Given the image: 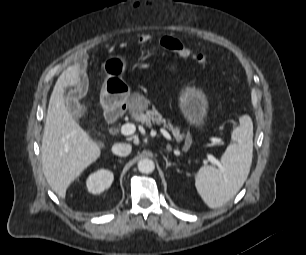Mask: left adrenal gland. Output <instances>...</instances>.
Instances as JSON below:
<instances>
[{
    "label": "left adrenal gland",
    "instance_id": "1",
    "mask_svg": "<svg viewBox=\"0 0 306 255\" xmlns=\"http://www.w3.org/2000/svg\"><path fill=\"white\" fill-rule=\"evenodd\" d=\"M163 158H164V160H165V162H166V168H169V167H171V166H176L175 163L169 162L168 159H167L164 155H163Z\"/></svg>",
    "mask_w": 306,
    "mask_h": 255
}]
</instances>
